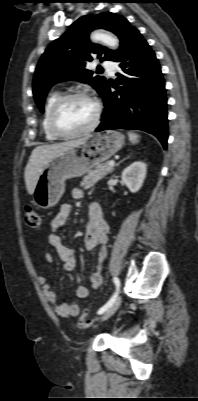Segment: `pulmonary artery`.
<instances>
[{
	"mask_svg": "<svg viewBox=\"0 0 198 401\" xmlns=\"http://www.w3.org/2000/svg\"><path fill=\"white\" fill-rule=\"evenodd\" d=\"M102 65L108 70L110 75H114V70L116 68V64L113 61L110 60H104L102 62Z\"/></svg>",
	"mask_w": 198,
	"mask_h": 401,
	"instance_id": "e3ab8cb5",
	"label": "pulmonary artery"
}]
</instances>
